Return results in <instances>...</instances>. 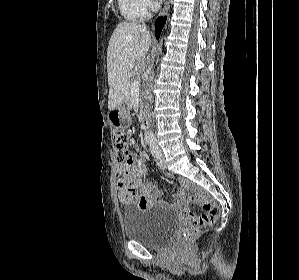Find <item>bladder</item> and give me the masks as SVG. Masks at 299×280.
<instances>
[{
  "label": "bladder",
  "mask_w": 299,
  "mask_h": 280,
  "mask_svg": "<svg viewBox=\"0 0 299 280\" xmlns=\"http://www.w3.org/2000/svg\"><path fill=\"white\" fill-rule=\"evenodd\" d=\"M178 226L176 215L161 206L126 210L123 230L127 239L153 249L167 246Z\"/></svg>",
  "instance_id": "31cf9c89"
}]
</instances>
